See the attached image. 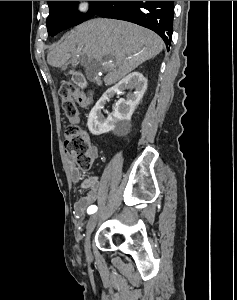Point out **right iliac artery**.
Returning a JSON list of instances; mask_svg holds the SVG:
<instances>
[{"mask_svg":"<svg viewBox=\"0 0 237 300\" xmlns=\"http://www.w3.org/2000/svg\"><path fill=\"white\" fill-rule=\"evenodd\" d=\"M96 211H97V206H96V205H91V206H89L88 209H87V213H88V214H93V213H95Z\"/></svg>","mask_w":237,"mask_h":300,"instance_id":"82829eb1","label":"right iliac artery"}]
</instances>
